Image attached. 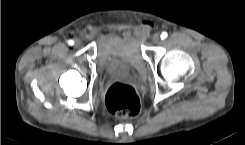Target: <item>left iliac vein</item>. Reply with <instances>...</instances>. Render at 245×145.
I'll use <instances>...</instances> for the list:
<instances>
[{
    "label": "left iliac vein",
    "instance_id": "left-iliac-vein-1",
    "mask_svg": "<svg viewBox=\"0 0 245 145\" xmlns=\"http://www.w3.org/2000/svg\"><path fill=\"white\" fill-rule=\"evenodd\" d=\"M152 41L155 43V44H158L160 42V36L158 34H155L152 38Z\"/></svg>",
    "mask_w": 245,
    "mask_h": 145
}]
</instances>
